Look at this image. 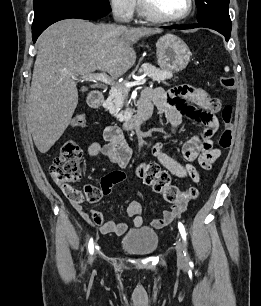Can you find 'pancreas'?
Wrapping results in <instances>:
<instances>
[{"mask_svg":"<svg viewBox=\"0 0 261 306\" xmlns=\"http://www.w3.org/2000/svg\"><path fill=\"white\" fill-rule=\"evenodd\" d=\"M139 73H147L152 81L165 82L167 79L173 77V73L168 70H161L149 64H143ZM126 82L118 84L110 90L109 97L105 101V108L109 110L110 114L115 116L119 121L126 119L128 110L121 111L125 99L128 95L130 88L125 87Z\"/></svg>","mask_w":261,"mask_h":306,"instance_id":"cf45deb5","label":"pancreas"}]
</instances>
